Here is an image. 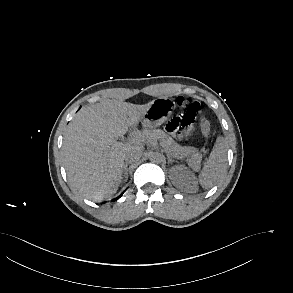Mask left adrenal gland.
Here are the masks:
<instances>
[{
  "instance_id": "a2214340",
  "label": "left adrenal gland",
  "mask_w": 293,
  "mask_h": 293,
  "mask_svg": "<svg viewBox=\"0 0 293 293\" xmlns=\"http://www.w3.org/2000/svg\"><path fill=\"white\" fill-rule=\"evenodd\" d=\"M173 162H175V160L172 159L170 156H168V164H171V163H173Z\"/></svg>"
}]
</instances>
